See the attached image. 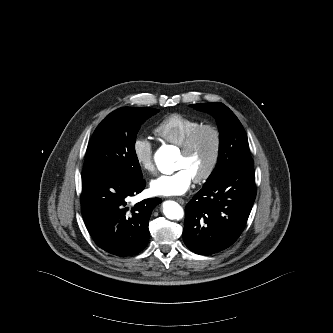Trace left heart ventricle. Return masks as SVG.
Listing matches in <instances>:
<instances>
[{
	"mask_svg": "<svg viewBox=\"0 0 333 333\" xmlns=\"http://www.w3.org/2000/svg\"><path fill=\"white\" fill-rule=\"evenodd\" d=\"M214 145V138L211 132H203L188 155L180 153L177 161V169L184 168L194 178L201 174L207 167Z\"/></svg>",
	"mask_w": 333,
	"mask_h": 333,
	"instance_id": "b2bd125f",
	"label": "left heart ventricle"
}]
</instances>
